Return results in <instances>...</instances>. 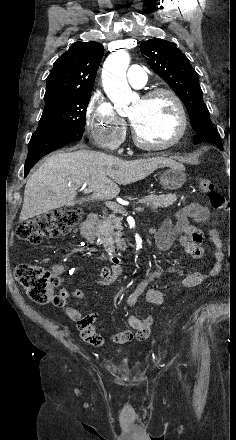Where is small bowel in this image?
<instances>
[{
  "label": "small bowel",
  "instance_id": "c3829d8e",
  "mask_svg": "<svg viewBox=\"0 0 236 440\" xmlns=\"http://www.w3.org/2000/svg\"><path fill=\"white\" fill-rule=\"evenodd\" d=\"M209 214L208 208L197 202H190L181 207L173 216L166 218L158 228L151 230L156 246L161 251H167L178 242L185 252L193 258H201L204 255V236L199 229L190 224L189 218L194 219L196 222H205L208 220ZM210 244L213 247V263L206 273H186L175 267L156 269L138 283L135 290L127 298L128 306H134L142 295H145L146 301L150 304H163L167 299V295L158 289L149 288L148 286L151 282L160 279L165 274L178 275L180 278L179 284L182 288L196 287L215 277L221 269L224 257L221 249L220 234L216 229L210 230ZM52 271L60 274L63 271V267L56 264L52 267ZM121 273L122 269L119 266L103 268L96 283L104 287H110ZM58 296L63 301L60 307L64 308L70 319L77 323V329L80 332L81 338L91 345L97 346L102 344V337L97 332V321H94L96 314L92 313L83 316L79 310L67 303V300L70 298L85 300L84 292L80 289L63 287L60 289ZM128 324L130 327L127 330L121 331L114 336L115 342L120 344L127 343L132 340L133 335L137 339H148L151 331L150 324H143L137 315H130L128 317Z\"/></svg>",
  "mask_w": 236,
  "mask_h": 440
}]
</instances>
